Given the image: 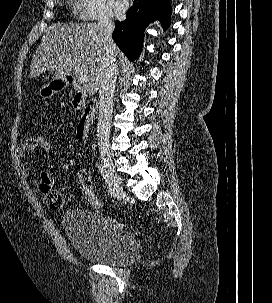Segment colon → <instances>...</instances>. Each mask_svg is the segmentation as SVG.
Instances as JSON below:
<instances>
[{
    "mask_svg": "<svg viewBox=\"0 0 272 303\" xmlns=\"http://www.w3.org/2000/svg\"><path fill=\"white\" fill-rule=\"evenodd\" d=\"M52 149L50 140L45 135L34 136V150L42 155L48 154ZM78 179L82 191L87 200L94 206L101 208L102 204L94 193L93 184L90 176V172L85 167H80L78 171ZM46 205L54 210H60L64 206V197L56 190H53L44 196Z\"/></svg>",
    "mask_w": 272,
    "mask_h": 303,
    "instance_id": "colon-1",
    "label": "colon"
}]
</instances>
